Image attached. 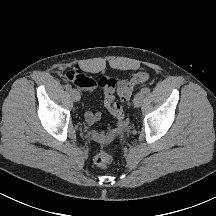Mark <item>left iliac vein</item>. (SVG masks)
<instances>
[{"mask_svg":"<svg viewBox=\"0 0 216 216\" xmlns=\"http://www.w3.org/2000/svg\"><path fill=\"white\" fill-rule=\"evenodd\" d=\"M144 98V94L139 92L135 95L133 103L135 107H140Z\"/></svg>","mask_w":216,"mask_h":216,"instance_id":"left-iliac-vein-1","label":"left iliac vein"}]
</instances>
